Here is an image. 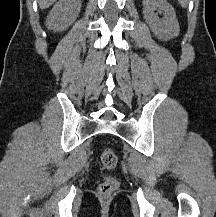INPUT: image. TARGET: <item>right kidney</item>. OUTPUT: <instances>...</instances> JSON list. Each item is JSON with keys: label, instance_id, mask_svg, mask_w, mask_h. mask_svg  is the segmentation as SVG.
Returning a JSON list of instances; mask_svg holds the SVG:
<instances>
[{"label": "right kidney", "instance_id": "obj_1", "mask_svg": "<svg viewBox=\"0 0 216 217\" xmlns=\"http://www.w3.org/2000/svg\"><path fill=\"white\" fill-rule=\"evenodd\" d=\"M81 0H59L46 19L48 29L62 31L67 29L78 17Z\"/></svg>", "mask_w": 216, "mask_h": 217}]
</instances>
